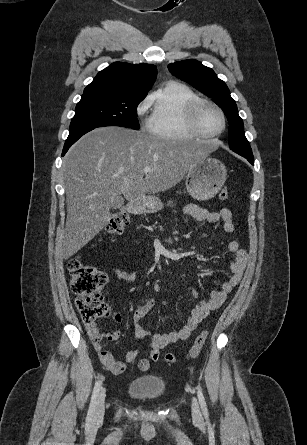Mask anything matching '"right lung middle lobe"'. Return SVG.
Returning <instances> with one entry per match:
<instances>
[{
    "instance_id": "right-lung-middle-lobe-1",
    "label": "right lung middle lobe",
    "mask_w": 307,
    "mask_h": 445,
    "mask_svg": "<svg viewBox=\"0 0 307 445\" xmlns=\"http://www.w3.org/2000/svg\"><path fill=\"white\" fill-rule=\"evenodd\" d=\"M144 97L89 95L82 96L72 118L69 135L86 129L120 126L138 130L137 106Z\"/></svg>"
}]
</instances>
